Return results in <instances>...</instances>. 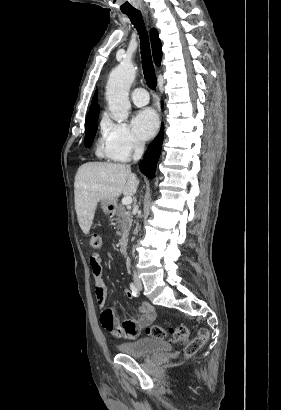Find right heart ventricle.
<instances>
[{
    "label": "right heart ventricle",
    "instance_id": "1",
    "mask_svg": "<svg viewBox=\"0 0 281 410\" xmlns=\"http://www.w3.org/2000/svg\"><path fill=\"white\" fill-rule=\"evenodd\" d=\"M102 135L98 138L97 143H96V155L100 158H112L110 155L109 149L106 144V140L103 134V122H102ZM115 160V159H114Z\"/></svg>",
    "mask_w": 281,
    "mask_h": 410
}]
</instances>
